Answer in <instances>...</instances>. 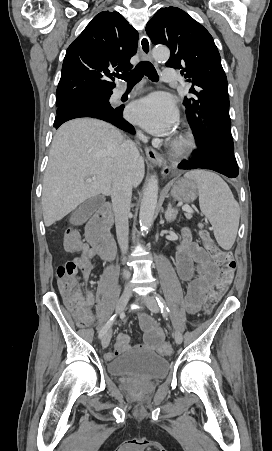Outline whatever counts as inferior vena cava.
Wrapping results in <instances>:
<instances>
[{"label": "inferior vena cava", "mask_w": 272, "mask_h": 451, "mask_svg": "<svg viewBox=\"0 0 272 451\" xmlns=\"http://www.w3.org/2000/svg\"><path fill=\"white\" fill-rule=\"evenodd\" d=\"M137 138L147 142L146 136L138 132ZM140 154L132 142H124L114 154V172L111 190L113 212L118 243L126 253L128 249V214L132 196V170ZM125 279H129V271H124Z\"/></svg>", "instance_id": "602c4592"}]
</instances>
